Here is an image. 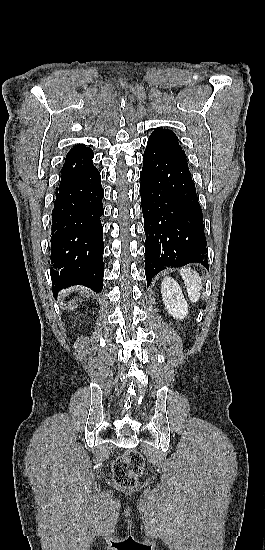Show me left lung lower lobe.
I'll list each match as a JSON object with an SVG mask.
<instances>
[{
	"label": "left lung lower lobe",
	"instance_id": "1",
	"mask_svg": "<svg viewBox=\"0 0 265 550\" xmlns=\"http://www.w3.org/2000/svg\"><path fill=\"white\" fill-rule=\"evenodd\" d=\"M140 195L147 285L166 268L196 262L208 269L203 214L186 156L148 141Z\"/></svg>",
	"mask_w": 265,
	"mask_h": 550
}]
</instances>
